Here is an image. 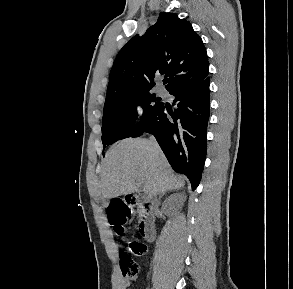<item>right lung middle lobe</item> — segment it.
<instances>
[{
  "label": "right lung middle lobe",
  "instance_id": "right-lung-middle-lobe-1",
  "mask_svg": "<svg viewBox=\"0 0 293 289\" xmlns=\"http://www.w3.org/2000/svg\"><path fill=\"white\" fill-rule=\"evenodd\" d=\"M158 101L155 94L147 92L115 98L105 103L102 124L103 148L118 140L131 137L148 116L161 106L162 103ZM138 105L143 108V116L140 124L135 126Z\"/></svg>",
  "mask_w": 293,
  "mask_h": 289
}]
</instances>
